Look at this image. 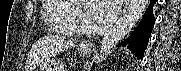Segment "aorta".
I'll list each match as a JSON object with an SVG mask.
<instances>
[{
    "label": "aorta",
    "mask_w": 181,
    "mask_h": 71,
    "mask_svg": "<svg viewBox=\"0 0 181 71\" xmlns=\"http://www.w3.org/2000/svg\"><path fill=\"white\" fill-rule=\"evenodd\" d=\"M147 4L148 0H130V4L121 19L104 35L97 62L103 61L110 49L133 29L142 17Z\"/></svg>",
    "instance_id": "obj_1"
}]
</instances>
